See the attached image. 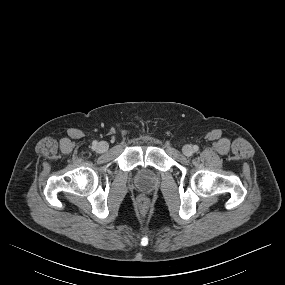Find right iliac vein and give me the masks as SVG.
<instances>
[{"label": "right iliac vein", "mask_w": 285, "mask_h": 285, "mask_svg": "<svg viewBox=\"0 0 285 285\" xmlns=\"http://www.w3.org/2000/svg\"><path fill=\"white\" fill-rule=\"evenodd\" d=\"M108 147H109L108 143L102 141V142H100V143L98 144V146H97V151L100 152V153H103V152H105V151L108 150Z\"/></svg>", "instance_id": "right-iliac-vein-1"}]
</instances>
